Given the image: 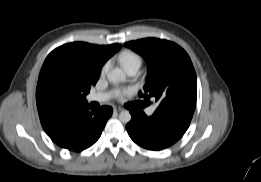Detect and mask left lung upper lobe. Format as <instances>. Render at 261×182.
Listing matches in <instances>:
<instances>
[{
  "label": "left lung upper lobe",
  "instance_id": "1",
  "mask_svg": "<svg viewBox=\"0 0 261 182\" xmlns=\"http://www.w3.org/2000/svg\"><path fill=\"white\" fill-rule=\"evenodd\" d=\"M147 62L148 76L139 97H154L160 105L155 115L191 121L197 99V79L192 62L177 44L146 38L124 44Z\"/></svg>",
  "mask_w": 261,
  "mask_h": 182
}]
</instances>
